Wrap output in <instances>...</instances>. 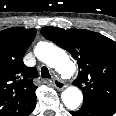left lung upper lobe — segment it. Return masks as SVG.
Listing matches in <instances>:
<instances>
[{"mask_svg":"<svg viewBox=\"0 0 116 116\" xmlns=\"http://www.w3.org/2000/svg\"><path fill=\"white\" fill-rule=\"evenodd\" d=\"M42 35L67 50L80 68L73 85L84 100L116 103V42L93 31L43 27Z\"/></svg>","mask_w":116,"mask_h":116,"instance_id":"left-lung-upper-lobe-1","label":"left lung upper lobe"}]
</instances>
